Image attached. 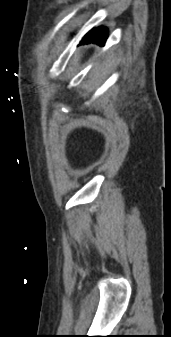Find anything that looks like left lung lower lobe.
<instances>
[{
  "label": "left lung lower lobe",
  "mask_w": 171,
  "mask_h": 337,
  "mask_svg": "<svg viewBox=\"0 0 171 337\" xmlns=\"http://www.w3.org/2000/svg\"><path fill=\"white\" fill-rule=\"evenodd\" d=\"M108 37V30L105 27H98L89 31L81 40L80 44L97 43L103 46Z\"/></svg>",
  "instance_id": "left-lung-lower-lobe-1"
}]
</instances>
